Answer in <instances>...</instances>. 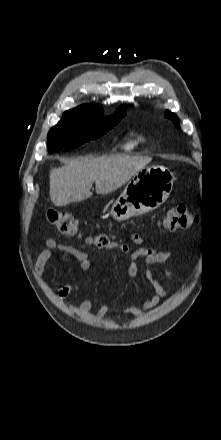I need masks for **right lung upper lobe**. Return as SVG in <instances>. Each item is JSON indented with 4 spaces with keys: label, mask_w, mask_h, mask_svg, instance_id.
Instances as JSON below:
<instances>
[{
    "label": "right lung upper lobe",
    "mask_w": 221,
    "mask_h": 440,
    "mask_svg": "<svg viewBox=\"0 0 221 440\" xmlns=\"http://www.w3.org/2000/svg\"><path fill=\"white\" fill-rule=\"evenodd\" d=\"M126 106H121L119 107L117 110L121 111L123 109H126ZM102 109L101 106L97 105V104H85V105H81L77 108H74L72 110H76V111H93V110H100Z\"/></svg>",
    "instance_id": "cb5924a9"
}]
</instances>
